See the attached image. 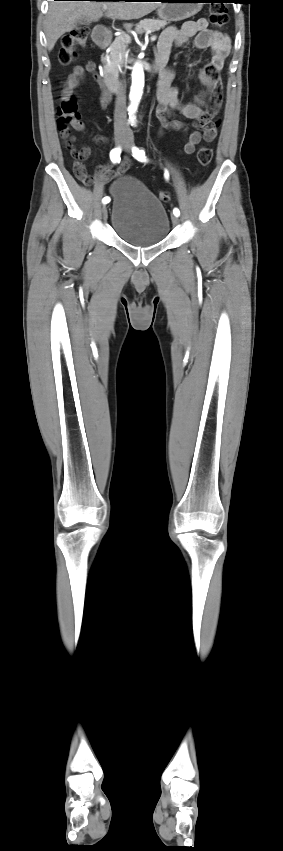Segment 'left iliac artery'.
I'll use <instances>...</instances> for the list:
<instances>
[{"mask_svg":"<svg viewBox=\"0 0 283 851\" xmlns=\"http://www.w3.org/2000/svg\"><path fill=\"white\" fill-rule=\"evenodd\" d=\"M132 154H133V157H134L135 159H137L138 161L145 162V161L147 160V159H146V156H145V151H144V150H142V149H139V148H137V147H133V148H132ZM165 178H166V179H168V178H169V173H168V171H167V170L165 171ZM173 214H174L175 216H177V217H178V216L180 215V211H179V209L175 208V209L173 210Z\"/></svg>","mask_w":283,"mask_h":851,"instance_id":"obj_1","label":"left iliac artery"}]
</instances>
